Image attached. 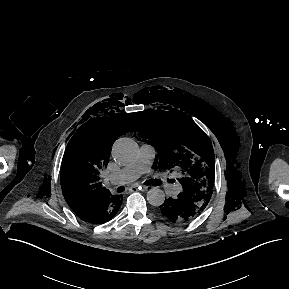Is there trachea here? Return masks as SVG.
Returning <instances> with one entry per match:
<instances>
[{
	"mask_svg": "<svg viewBox=\"0 0 289 289\" xmlns=\"http://www.w3.org/2000/svg\"><path fill=\"white\" fill-rule=\"evenodd\" d=\"M160 183H161V182H160L159 180H156V179H154V180H149V181H146V182H145L146 185H151V184H152V185H154V186L160 185ZM124 190H125V188H124L123 186H120V187L117 188V191H118V192H123Z\"/></svg>",
	"mask_w": 289,
	"mask_h": 289,
	"instance_id": "3493384b",
	"label": "trachea"
}]
</instances>
